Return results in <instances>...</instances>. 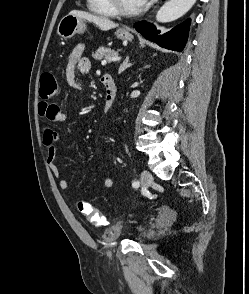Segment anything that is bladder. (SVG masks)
<instances>
[{"label": "bladder", "mask_w": 249, "mask_h": 294, "mask_svg": "<svg viewBox=\"0 0 249 294\" xmlns=\"http://www.w3.org/2000/svg\"><path fill=\"white\" fill-rule=\"evenodd\" d=\"M150 224H151V221L148 219V220L144 221L138 227V231H139L140 236L142 238H145L149 235ZM121 234H122L121 230L116 231L115 227H111L102 234V239L104 242H113V241H116L121 236Z\"/></svg>", "instance_id": "1"}]
</instances>
